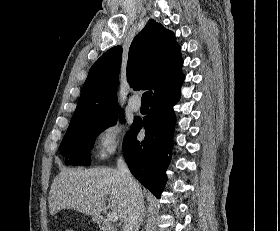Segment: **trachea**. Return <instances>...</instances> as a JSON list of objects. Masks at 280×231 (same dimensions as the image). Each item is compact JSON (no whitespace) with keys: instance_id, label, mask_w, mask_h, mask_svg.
Masks as SVG:
<instances>
[{"instance_id":"1","label":"trachea","mask_w":280,"mask_h":231,"mask_svg":"<svg viewBox=\"0 0 280 231\" xmlns=\"http://www.w3.org/2000/svg\"><path fill=\"white\" fill-rule=\"evenodd\" d=\"M151 98H152V91H146L145 93H143V96L141 98L142 105L149 106L151 102Z\"/></svg>"}]
</instances>
